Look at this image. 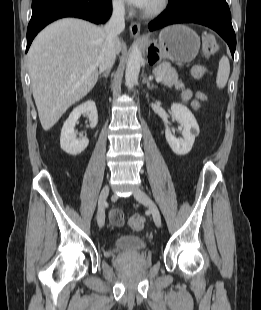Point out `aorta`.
Instances as JSON below:
<instances>
[{"mask_svg":"<svg viewBox=\"0 0 261 310\" xmlns=\"http://www.w3.org/2000/svg\"><path fill=\"white\" fill-rule=\"evenodd\" d=\"M142 60L143 58L140 48L138 45H134L127 61L125 73V81L128 89H131L138 83Z\"/></svg>","mask_w":261,"mask_h":310,"instance_id":"obj_1","label":"aorta"}]
</instances>
